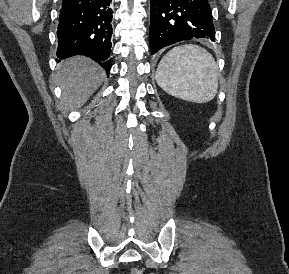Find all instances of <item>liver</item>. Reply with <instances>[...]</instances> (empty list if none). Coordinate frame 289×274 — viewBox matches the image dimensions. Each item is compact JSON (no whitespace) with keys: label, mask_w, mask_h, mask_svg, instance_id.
Instances as JSON below:
<instances>
[{"label":"liver","mask_w":289,"mask_h":274,"mask_svg":"<svg viewBox=\"0 0 289 274\" xmlns=\"http://www.w3.org/2000/svg\"><path fill=\"white\" fill-rule=\"evenodd\" d=\"M105 72L91 59L74 56L64 61L57 72L62 89V105L66 110L81 108L102 84Z\"/></svg>","instance_id":"obj_1"}]
</instances>
